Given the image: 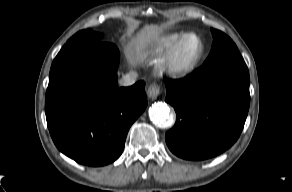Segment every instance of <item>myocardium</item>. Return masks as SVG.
I'll list each match as a JSON object with an SVG mask.
<instances>
[{
    "mask_svg": "<svg viewBox=\"0 0 292 192\" xmlns=\"http://www.w3.org/2000/svg\"><path fill=\"white\" fill-rule=\"evenodd\" d=\"M195 37L199 41V50L196 55L189 61H183L181 58L182 48L185 42ZM205 54V43L200 35L197 33H186L175 44L170 53L166 56L163 67L166 73L175 77H182L192 73L201 63Z\"/></svg>",
    "mask_w": 292,
    "mask_h": 192,
    "instance_id": "1",
    "label": "myocardium"
}]
</instances>
